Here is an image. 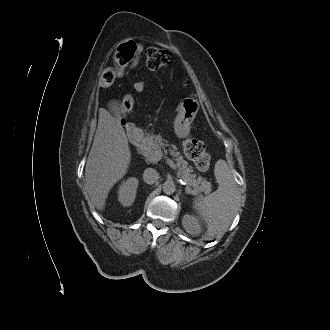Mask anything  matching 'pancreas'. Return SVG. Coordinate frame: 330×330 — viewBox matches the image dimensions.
<instances>
[{
    "label": "pancreas",
    "instance_id": "obj_1",
    "mask_svg": "<svg viewBox=\"0 0 330 330\" xmlns=\"http://www.w3.org/2000/svg\"><path fill=\"white\" fill-rule=\"evenodd\" d=\"M169 146L168 152L173 157L177 163L178 172L177 176L182 178L187 184V186L193 188L195 193H209L212 190V184L201 176H196V174H191L193 172L192 168L188 167V162L183 159L180 153L177 151L175 145H169L160 135H148L141 145V153L144 155L149 162H153V157L156 151L162 153V149ZM167 151V150H165Z\"/></svg>",
    "mask_w": 330,
    "mask_h": 330
}]
</instances>
